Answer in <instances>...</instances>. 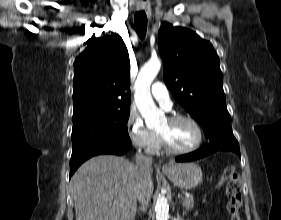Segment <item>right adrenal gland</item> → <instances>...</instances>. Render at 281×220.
I'll list each match as a JSON object with an SVG mask.
<instances>
[{"label": "right adrenal gland", "instance_id": "2a0ac1e0", "mask_svg": "<svg viewBox=\"0 0 281 220\" xmlns=\"http://www.w3.org/2000/svg\"><path fill=\"white\" fill-rule=\"evenodd\" d=\"M146 210V207H140L139 209H138V213H139V211H145Z\"/></svg>", "mask_w": 281, "mask_h": 220}]
</instances>
